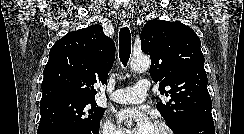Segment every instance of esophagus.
Masks as SVG:
<instances>
[{
  "label": "esophagus",
  "instance_id": "1",
  "mask_svg": "<svg viewBox=\"0 0 244 134\" xmlns=\"http://www.w3.org/2000/svg\"><path fill=\"white\" fill-rule=\"evenodd\" d=\"M120 19H121V22L124 24V25H127L128 21H129V16L127 13L125 12H122L120 14Z\"/></svg>",
  "mask_w": 244,
  "mask_h": 134
}]
</instances>
